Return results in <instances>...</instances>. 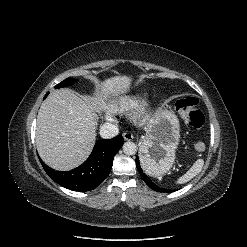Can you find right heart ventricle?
<instances>
[{
    "mask_svg": "<svg viewBox=\"0 0 247 247\" xmlns=\"http://www.w3.org/2000/svg\"><path fill=\"white\" fill-rule=\"evenodd\" d=\"M141 99H142L141 93L122 95L114 99L109 104V108L114 112L128 111L138 106L141 102Z\"/></svg>",
    "mask_w": 247,
    "mask_h": 247,
    "instance_id": "e07e8e85",
    "label": "right heart ventricle"
}]
</instances>
